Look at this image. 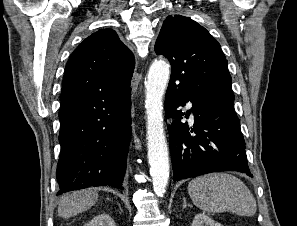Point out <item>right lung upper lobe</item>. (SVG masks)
<instances>
[{"label": "right lung upper lobe", "instance_id": "obj_1", "mask_svg": "<svg viewBox=\"0 0 297 226\" xmlns=\"http://www.w3.org/2000/svg\"><path fill=\"white\" fill-rule=\"evenodd\" d=\"M134 64L133 54L114 30L93 33L69 57L61 101L91 92H119L128 88Z\"/></svg>", "mask_w": 297, "mask_h": 226}]
</instances>
